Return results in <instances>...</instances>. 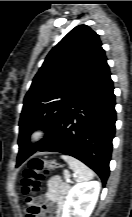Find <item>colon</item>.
I'll return each mask as SVG.
<instances>
[{
    "mask_svg": "<svg viewBox=\"0 0 132 217\" xmlns=\"http://www.w3.org/2000/svg\"><path fill=\"white\" fill-rule=\"evenodd\" d=\"M57 168V164L44 158H33L26 170L22 180L24 193L38 191L43 180L50 175L51 171ZM41 213L39 207H31L27 210V217H37Z\"/></svg>",
    "mask_w": 132,
    "mask_h": 217,
    "instance_id": "1",
    "label": "colon"
}]
</instances>
